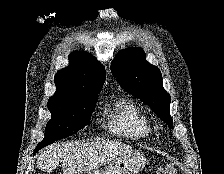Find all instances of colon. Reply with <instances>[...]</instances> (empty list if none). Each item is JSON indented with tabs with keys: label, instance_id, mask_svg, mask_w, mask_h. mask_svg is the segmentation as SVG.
I'll return each mask as SVG.
<instances>
[{
	"label": "colon",
	"instance_id": "5ec220e1",
	"mask_svg": "<svg viewBox=\"0 0 224 174\" xmlns=\"http://www.w3.org/2000/svg\"><path fill=\"white\" fill-rule=\"evenodd\" d=\"M156 174H178L177 170L170 164L158 168Z\"/></svg>",
	"mask_w": 224,
	"mask_h": 174
}]
</instances>
